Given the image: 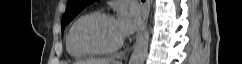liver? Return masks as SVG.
<instances>
[{"label": "liver", "instance_id": "1", "mask_svg": "<svg viewBox=\"0 0 242 64\" xmlns=\"http://www.w3.org/2000/svg\"><path fill=\"white\" fill-rule=\"evenodd\" d=\"M76 64H116V62H112L110 59H89L85 61H77Z\"/></svg>", "mask_w": 242, "mask_h": 64}]
</instances>
